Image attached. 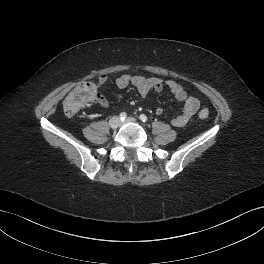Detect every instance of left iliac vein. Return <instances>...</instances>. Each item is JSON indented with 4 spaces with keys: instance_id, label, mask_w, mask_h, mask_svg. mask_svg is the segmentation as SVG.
<instances>
[{
    "instance_id": "left-iliac-vein-1",
    "label": "left iliac vein",
    "mask_w": 264,
    "mask_h": 264,
    "mask_svg": "<svg viewBox=\"0 0 264 264\" xmlns=\"http://www.w3.org/2000/svg\"><path fill=\"white\" fill-rule=\"evenodd\" d=\"M130 122L134 123V122H136V119L133 118V117H128V118H127L125 121H123L122 123H130Z\"/></svg>"
}]
</instances>
